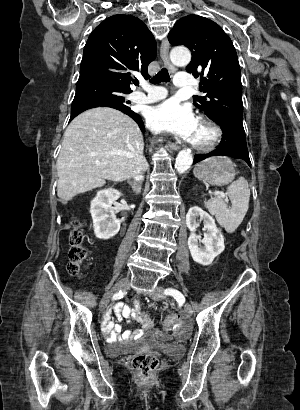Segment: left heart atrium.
Wrapping results in <instances>:
<instances>
[{"label": "left heart atrium", "instance_id": "left-heart-atrium-1", "mask_svg": "<svg viewBox=\"0 0 300 410\" xmlns=\"http://www.w3.org/2000/svg\"><path fill=\"white\" fill-rule=\"evenodd\" d=\"M147 123L156 132L171 133L192 142L199 122L190 106L169 99L149 111Z\"/></svg>", "mask_w": 300, "mask_h": 410}]
</instances>
